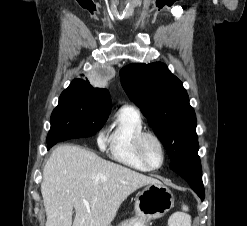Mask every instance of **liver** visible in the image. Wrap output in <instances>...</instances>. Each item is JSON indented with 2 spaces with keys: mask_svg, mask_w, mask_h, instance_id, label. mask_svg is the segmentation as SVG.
<instances>
[{
  "mask_svg": "<svg viewBox=\"0 0 247 226\" xmlns=\"http://www.w3.org/2000/svg\"><path fill=\"white\" fill-rule=\"evenodd\" d=\"M153 182L82 147L58 146L43 169L46 226H108L131 193Z\"/></svg>",
  "mask_w": 247,
  "mask_h": 226,
  "instance_id": "liver-1",
  "label": "liver"
}]
</instances>
